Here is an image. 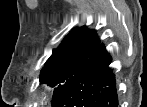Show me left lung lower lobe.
Wrapping results in <instances>:
<instances>
[{"mask_svg": "<svg viewBox=\"0 0 147 107\" xmlns=\"http://www.w3.org/2000/svg\"><path fill=\"white\" fill-rule=\"evenodd\" d=\"M111 56L101 44L67 83L53 107H118Z\"/></svg>", "mask_w": 147, "mask_h": 107, "instance_id": "1", "label": "left lung lower lobe"}]
</instances>
